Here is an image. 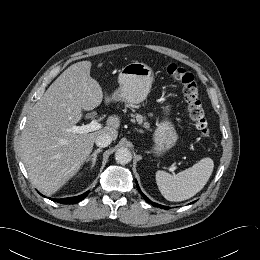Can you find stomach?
Segmentation results:
<instances>
[{
    "instance_id": "1",
    "label": "stomach",
    "mask_w": 260,
    "mask_h": 260,
    "mask_svg": "<svg viewBox=\"0 0 260 260\" xmlns=\"http://www.w3.org/2000/svg\"><path fill=\"white\" fill-rule=\"evenodd\" d=\"M154 72L151 67L142 62H133L124 66L118 76L119 88L112 94V99L130 104L144 101L151 89ZM170 107H164L165 115H169ZM156 155H161L176 145L178 134L173 123L165 117L157 124L153 136Z\"/></svg>"
}]
</instances>
